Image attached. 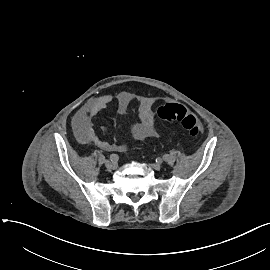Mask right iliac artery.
<instances>
[{"instance_id": "82829eb1", "label": "right iliac artery", "mask_w": 270, "mask_h": 270, "mask_svg": "<svg viewBox=\"0 0 270 270\" xmlns=\"http://www.w3.org/2000/svg\"><path fill=\"white\" fill-rule=\"evenodd\" d=\"M110 160L114 163H116L119 160V157L117 154H111L110 155Z\"/></svg>"}]
</instances>
